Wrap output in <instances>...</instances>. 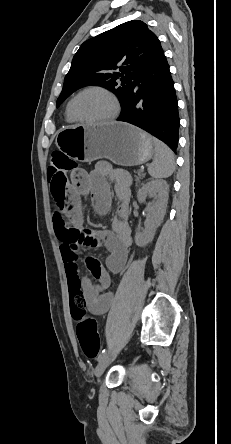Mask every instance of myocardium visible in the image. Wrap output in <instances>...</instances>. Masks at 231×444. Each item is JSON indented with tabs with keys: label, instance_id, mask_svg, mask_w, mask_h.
<instances>
[{
	"label": "myocardium",
	"instance_id": "f54148a6",
	"mask_svg": "<svg viewBox=\"0 0 231 444\" xmlns=\"http://www.w3.org/2000/svg\"><path fill=\"white\" fill-rule=\"evenodd\" d=\"M88 91H99V92L103 93L109 99V101L111 102V106H112V112L108 116L98 119V120H87V119L80 117L77 114V112L75 110V103H76L77 99L82 94H84L85 92H88ZM119 111H120V105H119V102H118L116 96L109 89H107L103 86H99V85H91V86L83 88L71 99V102H70V113H71L72 117L76 121L84 123V124H88V125H100V124L109 123L117 118Z\"/></svg>",
	"mask_w": 231,
	"mask_h": 444
}]
</instances>
